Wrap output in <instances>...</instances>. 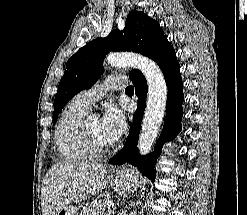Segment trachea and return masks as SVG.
I'll return each instance as SVG.
<instances>
[{
  "label": "trachea",
  "mask_w": 247,
  "mask_h": 215,
  "mask_svg": "<svg viewBox=\"0 0 247 215\" xmlns=\"http://www.w3.org/2000/svg\"><path fill=\"white\" fill-rule=\"evenodd\" d=\"M125 91H134V87L133 86H127Z\"/></svg>",
  "instance_id": "3493384b"
}]
</instances>
